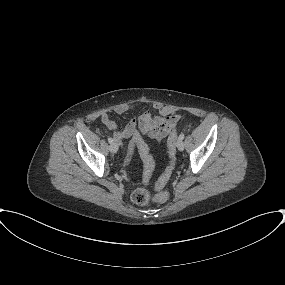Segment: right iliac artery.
Here are the masks:
<instances>
[{
  "label": "right iliac artery",
  "mask_w": 285,
  "mask_h": 285,
  "mask_svg": "<svg viewBox=\"0 0 285 285\" xmlns=\"http://www.w3.org/2000/svg\"><path fill=\"white\" fill-rule=\"evenodd\" d=\"M113 141H114L113 138H111V137L108 138V142H109L110 144L113 143Z\"/></svg>",
  "instance_id": "right-iliac-artery-1"
}]
</instances>
